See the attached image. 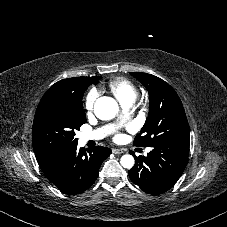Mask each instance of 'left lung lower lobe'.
I'll use <instances>...</instances> for the list:
<instances>
[{"instance_id": "1", "label": "left lung lower lobe", "mask_w": 227, "mask_h": 227, "mask_svg": "<svg viewBox=\"0 0 227 227\" xmlns=\"http://www.w3.org/2000/svg\"><path fill=\"white\" fill-rule=\"evenodd\" d=\"M189 141L156 143L148 147L145 156H135L136 162L129 170L131 181L152 195L168 191L182 175L189 156Z\"/></svg>"}]
</instances>
